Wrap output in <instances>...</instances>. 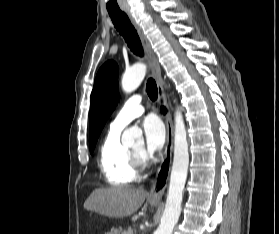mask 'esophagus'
Returning a JSON list of instances; mask_svg holds the SVG:
<instances>
[{"instance_id": "obj_1", "label": "esophagus", "mask_w": 279, "mask_h": 234, "mask_svg": "<svg viewBox=\"0 0 279 234\" xmlns=\"http://www.w3.org/2000/svg\"><path fill=\"white\" fill-rule=\"evenodd\" d=\"M128 18L130 19L132 25L135 27L138 36L141 40L142 47L145 51V54L150 62L151 70L153 77L157 83L158 95L163 107L167 108V99L165 95V91L162 85V76L161 69L156 55L154 54L149 41L146 38L142 28L138 25V23L133 18L132 14L129 11H125ZM165 125H166V146L164 151V156L162 158L161 164L157 170L156 178L149 192L150 199H161L164 191L167 187L169 173L171 170L172 163V153H173V123L172 118L169 113L164 115Z\"/></svg>"}]
</instances>
